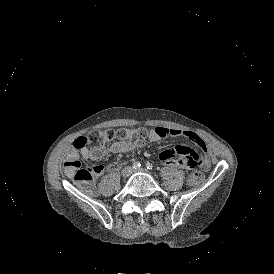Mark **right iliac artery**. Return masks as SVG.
<instances>
[{
	"mask_svg": "<svg viewBox=\"0 0 274 274\" xmlns=\"http://www.w3.org/2000/svg\"><path fill=\"white\" fill-rule=\"evenodd\" d=\"M140 166H141V164L139 162H134L132 165L133 169H139Z\"/></svg>",
	"mask_w": 274,
	"mask_h": 274,
	"instance_id": "right-iliac-artery-1",
	"label": "right iliac artery"
}]
</instances>
